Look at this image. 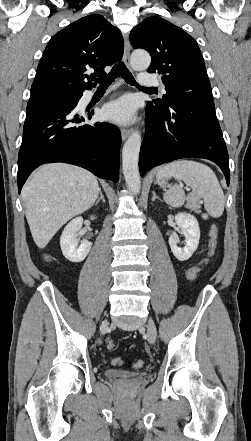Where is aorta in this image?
I'll return each instance as SVG.
<instances>
[{
	"label": "aorta",
	"instance_id": "762f6f07",
	"mask_svg": "<svg viewBox=\"0 0 251 441\" xmlns=\"http://www.w3.org/2000/svg\"><path fill=\"white\" fill-rule=\"evenodd\" d=\"M151 62L150 55L145 51H135L131 56V66L135 70H146ZM141 134L134 131L127 139L122 150V171L129 190L138 194L141 189L138 169Z\"/></svg>",
	"mask_w": 251,
	"mask_h": 441
}]
</instances>
